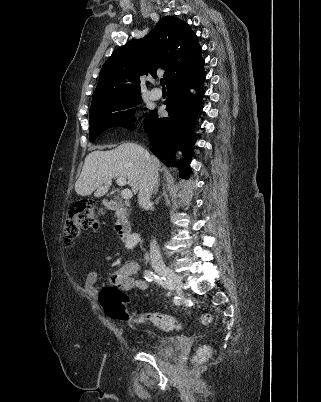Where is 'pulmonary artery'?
Returning a JSON list of instances; mask_svg holds the SVG:
<instances>
[{"mask_svg": "<svg viewBox=\"0 0 321 402\" xmlns=\"http://www.w3.org/2000/svg\"><path fill=\"white\" fill-rule=\"evenodd\" d=\"M150 97L154 100H158L161 97V91L157 88H153L150 91Z\"/></svg>", "mask_w": 321, "mask_h": 402, "instance_id": "obj_1", "label": "pulmonary artery"}]
</instances>
